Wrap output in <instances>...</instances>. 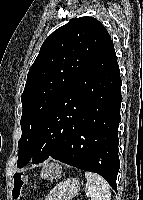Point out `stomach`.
<instances>
[{"mask_svg": "<svg viewBox=\"0 0 143 200\" xmlns=\"http://www.w3.org/2000/svg\"><path fill=\"white\" fill-rule=\"evenodd\" d=\"M59 169L58 165L50 164L44 171L50 170L55 174ZM80 190V182L77 178H67L59 182L46 196L45 200H71Z\"/></svg>", "mask_w": 143, "mask_h": 200, "instance_id": "1", "label": "stomach"}]
</instances>
